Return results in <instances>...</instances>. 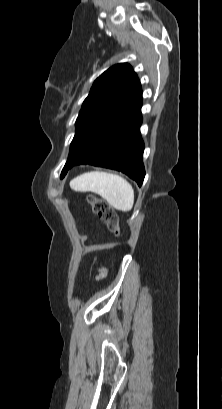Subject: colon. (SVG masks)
Returning <instances> with one entry per match:
<instances>
[{
  "instance_id": "colon-1",
  "label": "colon",
  "mask_w": 222,
  "mask_h": 409,
  "mask_svg": "<svg viewBox=\"0 0 222 409\" xmlns=\"http://www.w3.org/2000/svg\"><path fill=\"white\" fill-rule=\"evenodd\" d=\"M88 201L98 218L107 225L113 234L118 235L120 224L115 210L106 201L96 196H89Z\"/></svg>"
}]
</instances>
